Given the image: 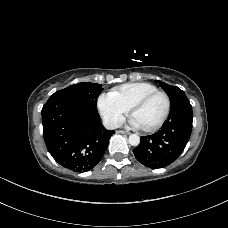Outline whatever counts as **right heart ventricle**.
I'll use <instances>...</instances> for the list:
<instances>
[{"instance_id":"obj_1","label":"right heart ventricle","mask_w":228,"mask_h":228,"mask_svg":"<svg viewBox=\"0 0 228 228\" xmlns=\"http://www.w3.org/2000/svg\"><path fill=\"white\" fill-rule=\"evenodd\" d=\"M158 88L149 82L126 83L113 89L111 95L128 110L131 105L144 95Z\"/></svg>"}]
</instances>
